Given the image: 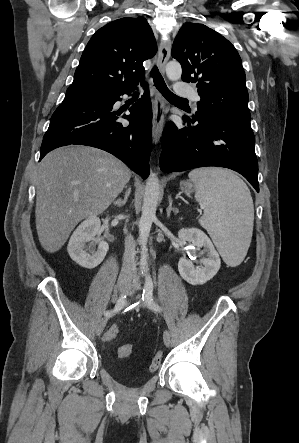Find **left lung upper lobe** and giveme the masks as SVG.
<instances>
[{"mask_svg": "<svg viewBox=\"0 0 299 443\" xmlns=\"http://www.w3.org/2000/svg\"><path fill=\"white\" fill-rule=\"evenodd\" d=\"M171 55L182 66V80L197 83L201 100L193 118L250 121L242 61L234 46L203 24L186 23Z\"/></svg>", "mask_w": 299, "mask_h": 443, "instance_id": "5c2ea615", "label": "left lung upper lobe"}]
</instances>
